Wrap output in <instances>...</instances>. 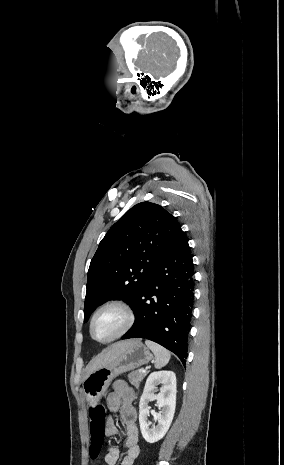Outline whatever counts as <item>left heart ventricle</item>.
<instances>
[{"instance_id":"left-heart-ventricle-1","label":"left heart ventricle","mask_w":284,"mask_h":465,"mask_svg":"<svg viewBox=\"0 0 284 465\" xmlns=\"http://www.w3.org/2000/svg\"><path fill=\"white\" fill-rule=\"evenodd\" d=\"M125 324L122 312L116 309H105L95 318L92 336L97 340H106L117 335Z\"/></svg>"}]
</instances>
